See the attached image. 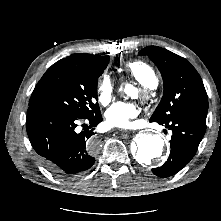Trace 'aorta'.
<instances>
[{
  "label": "aorta",
  "instance_id": "aorta-1",
  "mask_svg": "<svg viewBox=\"0 0 221 221\" xmlns=\"http://www.w3.org/2000/svg\"><path fill=\"white\" fill-rule=\"evenodd\" d=\"M133 86L127 85L126 93H132ZM165 148L164 140L160 135L142 133L135 138L133 157L141 166H148L153 160L162 156Z\"/></svg>",
  "mask_w": 221,
  "mask_h": 221
}]
</instances>
